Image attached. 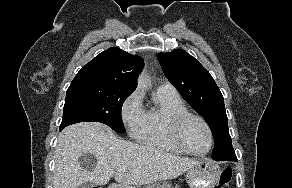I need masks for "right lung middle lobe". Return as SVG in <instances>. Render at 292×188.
Returning <instances> with one entry per match:
<instances>
[{"label": "right lung middle lobe", "instance_id": "right-lung-middle-lobe-1", "mask_svg": "<svg viewBox=\"0 0 292 188\" xmlns=\"http://www.w3.org/2000/svg\"><path fill=\"white\" fill-rule=\"evenodd\" d=\"M132 92L99 83H71L66 94L60 128L77 122L96 121L108 125L116 132L125 133L121 109Z\"/></svg>", "mask_w": 292, "mask_h": 188}]
</instances>
